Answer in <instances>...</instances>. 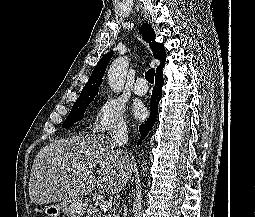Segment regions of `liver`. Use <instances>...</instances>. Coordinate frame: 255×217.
<instances>
[{
  "label": "liver",
  "instance_id": "liver-1",
  "mask_svg": "<svg viewBox=\"0 0 255 217\" xmlns=\"http://www.w3.org/2000/svg\"><path fill=\"white\" fill-rule=\"evenodd\" d=\"M132 171L128 154L115 150L112 140L104 135L61 139L42 148L35 157L29 181L30 199L38 205L72 202L82 199L95 187L101 193L118 194Z\"/></svg>",
  "mask_w": 255,
  "mask_h": 217
}]
</instances>
